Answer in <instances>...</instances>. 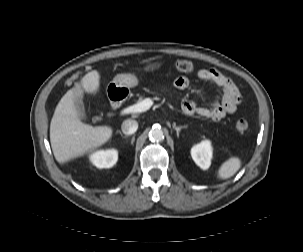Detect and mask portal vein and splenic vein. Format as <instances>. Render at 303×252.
Here are the masks:
<instances>
[{
	"label": "portal vein and splenic vein",
	"instance_id": "portal-vein-and-splenic-vein-1",
	"mask_svg": "<svg viewBox=\"0 0 303 252\" xmlns=\"http://www.w3.org/2000/svg\"><path fill=\"white\" fill-rule=\"evenodd\" d=\"M153 105V101L150 98H146L143 101L134 104L132 106H129L121 111V115L126 114H134V113H141L149 110L151 106Z\"/></svg>",
	"mask_w": 303,
	"mask_h": 252
}]
</instances>
